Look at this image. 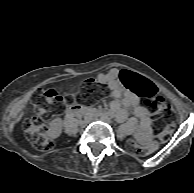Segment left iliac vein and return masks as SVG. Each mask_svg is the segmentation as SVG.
Listing matches in <instances>:
<instances>
[{"instance_id": "4c4485c4", "label": "left iliac vein", "mask_w": 194, "mask_h": 193, "mask_svg": "<svg viewBox=\"0 0 194 193\" xmlns=\"http://www.w3.org/2000/svg\"><path fill=\"white\" fill-rule=\"evenodd\" d=\"M105 122H107V123H111V121L107 118V119H105Z\"/></svg>"}]
</instances>
